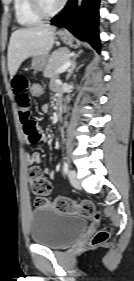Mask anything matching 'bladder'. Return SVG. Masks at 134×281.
Instances as JSON below:
<instances>
[{
	"mask_svg": "<svg viewBox=\"0 0 134 281\" xmlns=\"http://www.w3.org/2000/svg\"><path fill=\"white\" fill-rule=\"evenodd\" d=\"M83 216L37 208L31 213L30 238L38 245L63 249L73 243L87 228Z\"/></svg>",
	"mask_w": 134,
	"mask_h": 281,
	"instance_id": "1",
	"label": "bladder"
}]
</instances>
